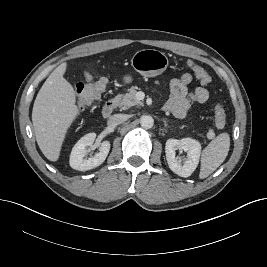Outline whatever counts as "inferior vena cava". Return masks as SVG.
Returning <instances> with one entry per match:
<instances>
[{"mask_svg": "<svg viewBox=\"0 0 267 267\" xmlns=\"http://www.w3.org/2000/svg\"><path fill=\"white\" fill-rule=\"evenodd\" d=\"M127 120V116L124 114H114L112 115L107 123L109 126L115 127L123 122H125Z\"/></svg>", "mask_w": 267, "mask_h": 267, "instance_id": "inferior-vena-cava-1", "label": "inferior vena cava"}]
</instances>
